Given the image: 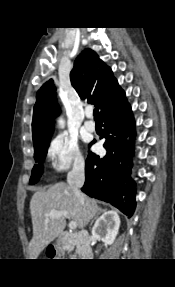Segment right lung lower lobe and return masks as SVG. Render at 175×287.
I'll return each mask as SVG.
<instances>
[{"mask_svg":"<svg viewBox=\"0 0 175 287\" xmlns=\"http://www.w3.org/2000/svg\"><path fill=\"white\" fill-rule=\"evenodd\" d=\"M101 121L104 123L101 138L106 139L104 148L107 154L100 158L89 152L82 191L93 198L109 202L130 217L136 207L135 182L130 177L135 120L127 100L103 114ZM127 136L128 140L124 138Z\"/></svg>","mask_w":175,"mask_h":287,"instance_id":"right-lung-lower-lobe-1","label":"right lung lower lobe"}]
</instances>
